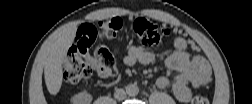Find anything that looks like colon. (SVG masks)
I'll return each instance as SVG.
<instances>
[{
    "mask_svg": "<svg viewBox=\"0 0 252 104\" xmlns=\"http://www.w3.org/2000/svg\"><path fill=\"white\" fill-rule=\"evenodd\" d=\"M123 23L120 18H111L95 24H82L76 32L75 45L69 49L63 62L64 78L71 84H77L82 79L90 76L91 69L86 64L83 56L90 50L97 39H115L118 37ZM133 31L137 40L143 45H154L166 39L171 34V29L165 25L151 22L145 18H137L133 22ZM98 59L104 68L114 75L116 72V49L104 45L96 50ZM193 104H206L207 98L196 95Z\"/></svg>",
    "mask_w": 252,
    "mask_h": 104,
    "instance_id": "colon-1",
    "label": "colon"
}]
</instances>
